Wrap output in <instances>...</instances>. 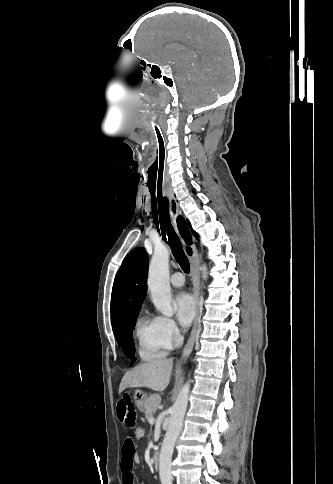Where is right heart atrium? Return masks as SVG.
Returning a JSON list of instances; mask_svg holds the SVG:
<instances>
[{
	"mask_svg": "<svg viewBox=\"0 0 333 484\" xmlns=\"http://www.w3.org/2000/svg\"><path fill=\"white\" fill-rule=\"evenodd\" d=\"M159 325H160V332L162 341L167 349L174 347L178 340H179V330L174 322V320L170 317L166 316H159Z\"/></svg>",
	"mask_w": 333,
	"mask_h": 484,
	"instance_id": "obj_1",
	"label": "right heart atrium"
}]
</instances>
